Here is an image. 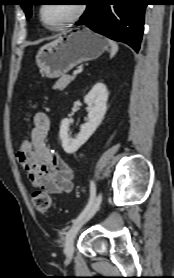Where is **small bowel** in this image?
<instances>
[{
    "label": "small bowel",
    "instance_id": "1",
    "mask_svg": "<svg viewBox=\"0 0 174 278\" xmlns=\"http://www.w3.org/2000/svg\"><path fill=\"white\" fill-rule=\"evenodd\" d=\"M50 126L49 116L37 112L30 134L32 150L24 154L17 152V159L34 188L48 194L69 193L73 189L74 173L62 157L47 145Z\"/></svg>",
    "mask_w": 174,
    "mask_h": 278
}]
</instances>
